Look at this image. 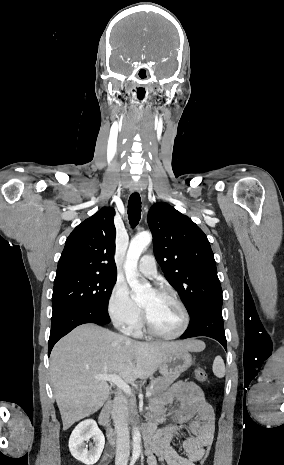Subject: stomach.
I'll return each instance as SVG.
<instances>
[{
    "label": "stomach",
    "mask_w": 284,
    "mask_h": 465,
    "mask_svg": "<svg viewBox=\"0 0 284 465\" xmlns=\"http://www.w3.org/2000/svg\"><path fill=\"white\" fill-rule=\"evenodd\" d=\"M193 365V359L189 351H175L166 357L164 363H160L159 369L162 375L169 373H183Z\"/></svg>",
    "instance_id": "obj_1"
}]
</instances>
